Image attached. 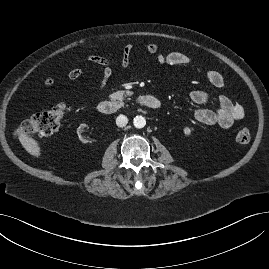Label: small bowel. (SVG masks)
<instances>
[{"mask_svg":"<svg viewBox=\"0 0 269 269\" xmlns=\"http://www.w3.org/2000/svg\"><path fill=\"white\" fill-rule=\"evenodd\" d=\"M144 52L159 64H168L172 66H187L190 64V59L185 54L178 51L161 53L156 43L147 44ZM132 53L133 45L131 43H126L123 46L121 55L116 60V63L121 67H127L131 62ZM87 60L102 68L101 78L96 88V91L99 92L107 85L112 77L113 61L99 55H88ZM84 73L85 70L83 68H71L68 71V77L74 80L81 77ZM206 78L208 82L216 88L222 89L226 85L223 75L218 71H208L206 73ZM46 84L51 87L53 81L48 79ZM189 99L195 105H203L210 100V95L205 91L196 90L190 93ZM244 116L245 108L241 104L234 103L226 95H220L218 97V108H201L195 112V119L197 122L204 125H217L222 128L231 127Z\"/></svg>","mask_w":269,"mask_h":269,"instance_id":"obj_1","label":"small bowel"}]
</instances>
